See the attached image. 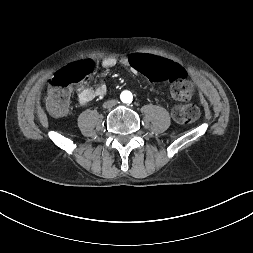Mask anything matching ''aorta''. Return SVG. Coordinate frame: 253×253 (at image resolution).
<instances>
[{
  "label": "aorta",
  "mask_w": 253,
  "mask_h": 253,
  "mask_svg": "<svg viewBox=\"0 0 253 253\" xmlns=\"http://www.w3.org/2000/svg\"><path fill=\"white\" fill-rule=\"evenodd\" d=\"M120 98L122 102L130 103L132 101V94L129 91H124L121 93Z\"/></svg>",
  "instance_id": "1"
}]
</instances>
